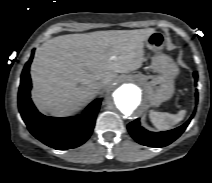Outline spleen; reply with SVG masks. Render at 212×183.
<instances>
[{
  "mask_svg": "<svg viewBox=\"0 0 212 183\" xmlns=\"http://www.w3.org/2000/svg\"><path fill=\"white\" fill-rule=\"evenodd\" d=\"M186 110H181L177 114H170L166 112H156L151 110L149 117L153 125L159 130H168L175 124L182 121L185 117Z\"/></svg>",
  "mask_w": 212,
  "mask_h": 183,
  "instance_id": "1",
  "label": "spleen"
}]
</instances>
